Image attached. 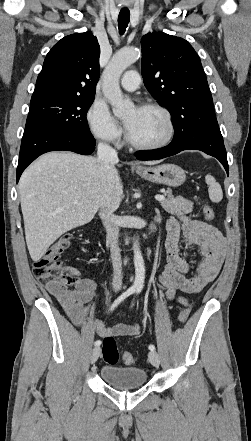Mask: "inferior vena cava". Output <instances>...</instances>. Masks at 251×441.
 I'll list each match as a JSON object with an SVG mask.
<instances>
[{"instance_id":"602c4592","label":"inferior vena cava","mask_w":251,"mask_h":441,"mask_svg":"<svg viewBox=\"0 0 251 441\" xmlns=\"http://www.w3.org/2000/svg\"><path fill=\"white\" fill-rule=\"evenodd\" d=\"M98 161L100 163L118 162V156L115 149L108 144L100 142L97 148ZM99 216L106 229L107 240L110 246L111 259L113 265L112 287L115 292L122 286V261L120 248L118 245L119 223L114 214V209L106 205L100 207Z\"/></svg>"}]
</instances>
